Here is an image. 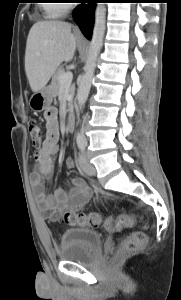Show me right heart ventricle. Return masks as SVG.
<instances>
[{
  "mask_svg": "<svg viewBox=\"0 0 181 300\" xmlns=\"http://www.w3.org/2000/svg\"><path fill=\"white\" fill-rule=\"evenodd\" d=\"M67 8V5L59 3V0L52 1V3H47L43 6L45 15L48 18H58L63 16L66 13Z\"/></svg>",
  "mask_w": 181,
  "mask_h": 300,
  "instance_id": "e07e8e85",
  "label": "right heart ventricle"
}]
</instances>
